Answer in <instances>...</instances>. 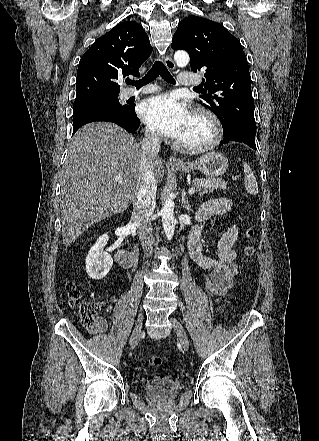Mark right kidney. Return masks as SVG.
<instances>
[{
	"label": "right kidney",
	"mask_w": 319,
	"mask_h": 441,
	"mask_svg": "<svg viewBox=\"0 0 319 441\" xmlns=\"http://www.w3.org/2000/svg\"><path fill=\"white\" fill-rule=\"evenodd\" d=\"M108 240V234L101 235L90 248L86 257V272L94 280L106 276L113 265L111 255L103 250Z\"/></svg>",
	"instance_id": "right-kidney-1"
}]
</instances>
